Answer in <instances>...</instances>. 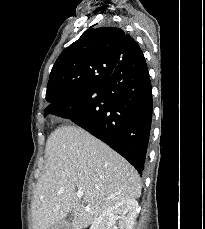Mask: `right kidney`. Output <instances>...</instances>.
<instances>
[{
	"label": "right kidney",
	"mask_w": 205,
	"mask_h": 229,
	"mask_svg": "<svg viewBox=\"0 0 205 229\" xmlns=\"http://www.w3.org/2000/svg\"><path fill=\"white\" fill-rule=\"evenodd\" d=\"M137 210L138 202L135 199L117 202L95 219L90 229H133Z\"/></svg>",
	"instance_id": "1"
}]
</instances>
